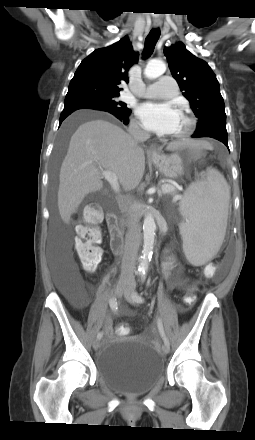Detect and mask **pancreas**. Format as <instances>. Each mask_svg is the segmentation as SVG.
Listing matches in <instances>:
<instances>
[{
    "label": "pancreas",
    "instance_id": "obj_1",
    "mask_svg": "<svg viewBox=\"0 0 255 440\" xmlns=\"http://www.w3.org/2000/svg\"><path fill=\"white\" fill-rule=\"evenodd\" d=\"M164 187L165 186H162V189H164ZM169 195H171L172 197H175L176 195H177V193H176V191L174 190V191H171V192H169ZM124 225V223H123V220L121 221V226H123Z\"/></svg>",
    "mask_w": 255,
    "mask_h": 440
}]
</instances>
